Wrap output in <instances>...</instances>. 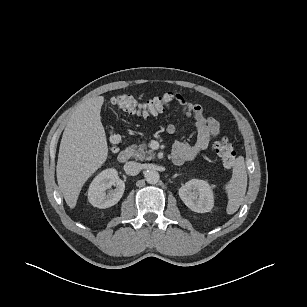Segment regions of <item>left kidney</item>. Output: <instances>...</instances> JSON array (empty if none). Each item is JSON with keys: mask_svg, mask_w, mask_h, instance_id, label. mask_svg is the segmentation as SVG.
Masks as SVG:
<instances>
[{"mask_svg": "<svg viewBox=\"0 0 307 307\" xmlns=\"http://www.w3.org/2000/svg\"><path fill=\"white\" fill-rule=\"evenodd\" d=\"M179 196L184 204L194 212H210L214 206V196L207 181L192 179L179 189Z\"/></svg>", "mask_w": 307, "mask_h": 307, "instance_id": "1", "label": "left kidney"}]
</instances>
